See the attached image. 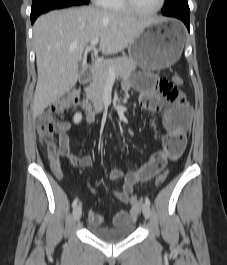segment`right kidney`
Segmentation results:
<instances>
[{
    "label": "right kidney",
    "mask_w": 227,
    "mask_h": 265,
    "mask_svg": "<svg viewBox=\"0 0 227 265\" xmlns=\"http://www.w3.org/2000/svg\"><path fill=\"white\" fill-rule=\"evenodd\" d=\"M81 120H82V115H81V113H76L75 116H74V122H75L76 124H78V123L81 122Z\"/></svg>",
    "instance_id": "ca27d5eb"
}]
</instances>
